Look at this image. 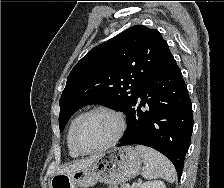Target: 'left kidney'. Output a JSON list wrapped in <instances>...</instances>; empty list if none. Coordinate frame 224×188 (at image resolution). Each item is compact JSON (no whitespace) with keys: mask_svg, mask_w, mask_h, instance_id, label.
<instances>
[{"mask_svg":"<svg viewBox=\"0 0 224 188\" xmlns=\"http://www.w3.org/2000/svg\"><path fill=\"white\" fill-rule=\"evenodd\" d=\"M139 188H166V186L162 181L154 180L141 184Z\"/></svg>","mask_w":224,"mask_h":188,"instance_id":"obj_1","label":"left kidney"}]
</instances>
